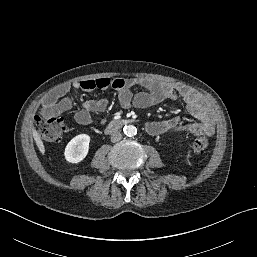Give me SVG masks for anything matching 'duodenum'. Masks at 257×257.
<instances>
[{
  "mask_svg": "<svg viewBox=\"0 0 257 257\" xmlns=\"http://www.w3.org/2000/svg\"><path fill=\"white\" fill-rule=\"evenodd\" d=\"M135 121H136L135 119L111 120L110 122L107 123L105 130H106V132L111 133V132L119 130L120 128H122L125 125L134 123Z\"/></svg>",
  "mask_w": 257,
  "mask_h": 257,
  "instance_id": "duodenum-1",
  "label": "duodenum"
}]
</instances>
